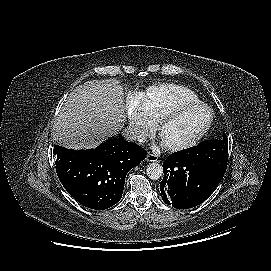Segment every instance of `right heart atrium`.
<instances>
[{
  "instance_id": "d8ad5b80",
  "label": "right heart atrium",
  "mask_w": 271,
  "mask_h": 271,
  "mask_svg": "<svg viewBox=\"0 0 271 271\" xmlns=\"http://www.w3.org/2000/svg\"><path fill=\"white\" fill-rule=\"evenodd\" d=\"M125 120L130 134L136 140L144 139L153 129L154 122L150 119L145 107L144 94L137 91L130 93Z\"/></svg>"
}]
</instances>
